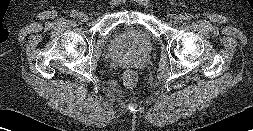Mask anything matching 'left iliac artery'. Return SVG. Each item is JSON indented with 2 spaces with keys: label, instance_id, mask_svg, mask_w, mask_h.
<instances>
[{
  "label": "left iliac artery",
  "instance_id": "44dca946",
  "mask_svg": "<svg viewBox=\"0 0 253 131\" xmlns=\"http://www.w3.org/2000/svg\"><path fill=\"white\" fill-rule=\"evenodd\" d=\"M192 18H193V15L190 14V13H187V14H185V16H184V19H185L186 21H190V20H192Z\"/></svg>",
  "mask_w": 253,
  "mask_h": 131
}]
</instances>
